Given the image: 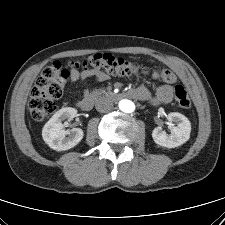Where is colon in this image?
I'll list each match as a JSON object with an SVG mask.
<instances>
[{"mask_svg":"<svg viewBox=\"0 0 225 225\" xmlns=\"http://www.w3.org/2000/svg\"><path fill=\"white\" fill-rule=\"evenodd\" d=\"M72 65L75 67L91 66L115 76H132L144 73L166 83H174L176 81L175 74L169 69L142 68L135 63L110 53H96L81 61L73 62ZM68 79V70L64 69L59 62H54L42 71L31 92L28 104L34 120L42 121L55 111V101L61 97L63 87ZM174 96L176 103L181 108L188 109L190 107L189 95L182 85L174 87Z\"/></svg>","mask_w":225,"mask_h":225,"instance_id":"colon-1","label":"colon"}]
</instances>
